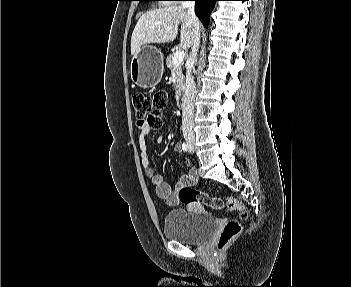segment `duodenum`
I'll return each instance as SVG.
<instances>
[{
	"mask_svg": "<svg viewBox=\"0 0 351 287\" xmlns=\"http://www.w3.org/2000/svg\"><path fill=\"white\" fill-rule=\"evenodd\" d=\"M176 104L178 107L184 106V98H183V93L181 91H178L176 93Z\"/></svg>",
	"mask_w": 351,
	"mask_h": 287,
	"instance_id": "obj_1",
	"label": "duodenum"
}]
</instances>
